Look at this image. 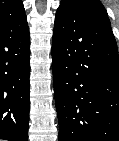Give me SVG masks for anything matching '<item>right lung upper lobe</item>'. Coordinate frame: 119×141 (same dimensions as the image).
<instances>
[{
  "label": "right lung upper lobe",
  "mask_w": 119,
  "mask_h": 141,
  "mask_svg": "<svg viewBox=\"0 0 119 141\" xmlns=\"http://www.w3.org/2000/svg\"><path fill=\"white\" fill-rule=\"evenodd\" d=\"M25 14L21 0H0V20H11Z\"/></svg>",
  "instance_id": "cb5924a9"
}]
</instances>
